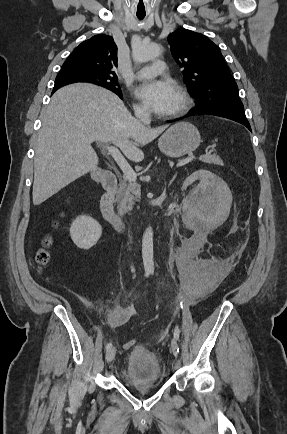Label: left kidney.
Returning <instances> with one entry per match:
<instances>
[{
	"instance_id": "left-kidney-1",
	"label": "left kidney",
	"mask_w": 287,
	"mask_h": 434,
	"mask_svg": "<svg viewBox=\"0 0 287 434\" xmlns=\"http://www.w3.org/2000/svg\"><path fill=\"white\" fill-rule=\"evenodd\" d=\"M197 179L200 183L183 199L184 209H190L199 218L207 217L215 223L222 222L232 204L230 189L217 175L207 170H199L185 179L182 190Z\"/></svg>"
}]
</instances>
